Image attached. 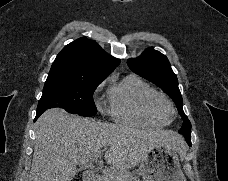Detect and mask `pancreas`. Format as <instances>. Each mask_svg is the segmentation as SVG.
Segmentation results:
<instances>
[{
	"instance_id": "pancreas-1",
	"label": "pancreas",
	"mask_w": 228,
	"mask_h": 181,
	"mask_svg": "<svg viewBox=\"0 0 228 181\" xmlns=\"http://www.w3.org/2000/svg\"><path fill=\"white\" fill-rule=\"evenodd\" d=\"M101 179L102 181H139L136 175L124 169H105Z\"/></svg>"
}]
</instances>
